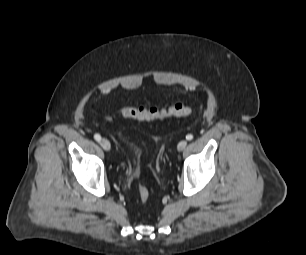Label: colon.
Segmentation results:
<instances>
[{
    "label": "colon",
    "instance_id": "5ec220e1",
    "mask_svg": "<svg viewBox=\"0 0 306 255\" xmlns=\"http://www.w3.org/2000/svg\"><path fill=\"white\" fill-rule=\"evenodd\" d=\"M118 113L125 118L140 121H155L173 117H186L191 114V108L184 103H173L165 108L133 106L127 104L121 106ZM137 191L141 203L146 204L150 197L148 188L142 183H138Z\"/></svg>",
    "mask_w": 306,
    "mask_h": 255
}]
</instances>
